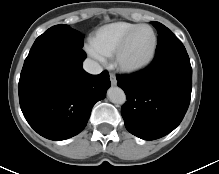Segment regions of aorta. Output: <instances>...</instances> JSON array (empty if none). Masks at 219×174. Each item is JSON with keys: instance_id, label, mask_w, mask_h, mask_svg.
I'll return each instance as SVG.
<instances>
[{"instance_id": "1", "label": "aorta", "mask_w": 219, "mask_h": 174, "mask_svg": "<svg viewBox=\"0 0 219 174\" xmlns=\"http://www.w3.org/2000/svg\"><path fill=\"white\" fill-rule=\"evenodd\" d=\"M107 96L114 104L122 105L126 102L125 92L120 87H110L107 91Z\"/></svg>"}]
</instances>
